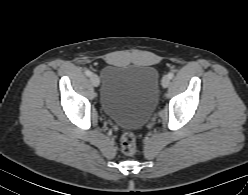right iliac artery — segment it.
<instances>
[{
	"mask_svg": "<svg viewBox=\"0 0 248 195\" xmlns=\"http://www.w3.org/2000/svg\"><path fill=\"white\" fill-rule=\"evenodd\" d=\"M85 74H86V76L90 77V76L92 75V72L89 71V70H86V71H85Z\"/></svg>",
	"mask_w": 248,
	"mask_h": 195,
	"instance_id": "1",
	"label": "right iliac artery"
}]
</instances>
